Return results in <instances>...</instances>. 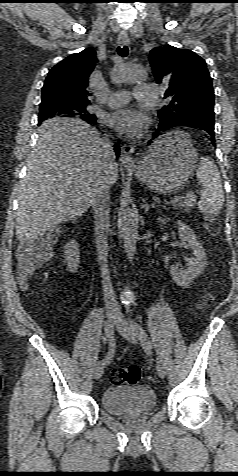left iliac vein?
<instances>
[{
  "mask_svg": "<svg viewBox=\"0 0 238 476\" xmlns=\"http://www.w3.org/2000/svg\"><path fill=\"white\" fill-rule=\"evenodd\" d=\"M116 327L121 334L127 341L131 343H137V335L135 333L134 324H128L124 320V316L122 313L118 314V318L116 321ZM157 373L160 378H164L166 375L165 365L161 360H157L156 363Z\"/></svg>",
  "mask_w": 238,
  "mask_h": 476,
  "instance_id": "obj_1",
  "label": "left iliac vein"
}]
</instances>
